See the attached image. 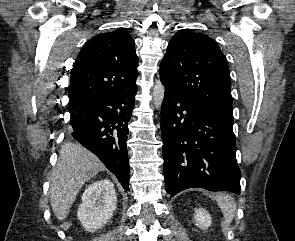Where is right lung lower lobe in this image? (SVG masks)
<instances>
[{
  "label": "right lung lower lobe",
  "instance_id": "98d812e1",
  "mask_svg": "<svg viewBox=\"0 0 295 241\" xmlns=\"http://www.w3.org/2000/svg\"><path fill=\"white\" fill-rule=\"evenodd\" d=\"M136 92L135 84L127 90L97 96L69 109L71 136L94 153L125 190H128L130 175L127 125Z\"/></svg>",
  "mask_w": 295,
  "mask_h": 241
}]
</instances>
